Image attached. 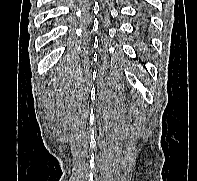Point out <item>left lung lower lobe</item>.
<instances>
[{"mask_svg": "<svg viewBox=\"0 0 197 181\" xmlns=\"http://www.w3.org/2000/svg\"><path fill=\"white\" fill-rule=\"evenodd\" d=\"M141 22H146V21H144V20H141ZM144 24H142V25H140V36H139V38H140V40H143L144 39Z\"/></svg>", "mask_w": 197, "mask_h": 181, "instance_id": "obj_1", "label": "left lung lower lobe"}]
</instances>
